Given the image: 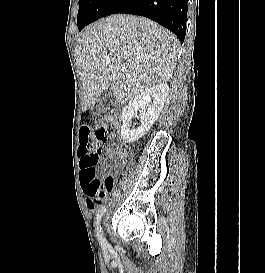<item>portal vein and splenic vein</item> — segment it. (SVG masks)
Wrapping results in <instances>:
<instances>
[{
  "mask_svg": "<svg viewBox=\"0 0 265 273\" xmlns=\"http://www.w3.org/2000/svg\"><path fill=\"white\" fill-rule=\"evenodd\" d=\"M121 69H122V71H126L127 70L125 66H122Z\"/></svg>",
  "mask_w": 265,
  "mask_h": 273,
  "instance_id": "18ae733b",
  "label": "portal vein and splenic vein"
}]
</instances>
